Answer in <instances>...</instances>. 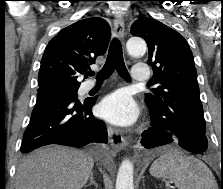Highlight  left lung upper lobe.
<instances>
[{
  "instance_id": "5c2ea615",
  "label": "left lung upper lobe",
  "mask_w": 223,
  "mask_h": 189,
  "mask_svg": "<svg viewBox=\"0 0 223 189\" xmlns=\"http://www.w3.org/2000/svg\"><path fill=\"white\" fill-rule=\"evenodd\" d=\"M134 36L148 45V62L154 69L145 102L167 129L206 133L193 54L185 38L153 18L137 19L131 28Z\"/></svg>"
}]
</instances>
